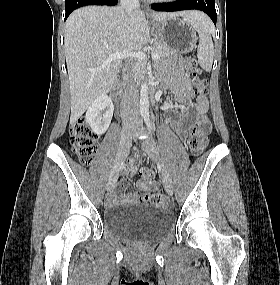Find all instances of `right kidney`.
Listing matches in <instances>:
<instances>
[{
  "label": "right kidney",
  "mask_w": 280,
  "mask_h": 285,
  "mask_svg": "<svg viewBox=\"0 0 280 285\" xmlns=\"http://www.w3.org/2000/svg\"><path fill=\"white\" fill-rule=\"evenodd\" d=\"M113 111L112 100L107 95H101L89 105L85 120L95 134L101 135L107 131Z\"/></svg>",
  "instance_id": "right-kidney-1"
}]
</instances>
